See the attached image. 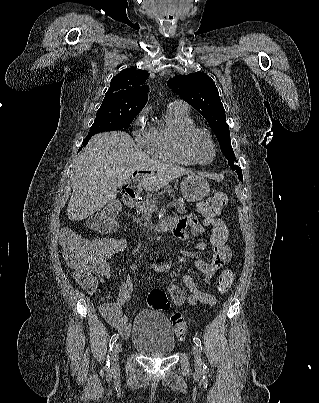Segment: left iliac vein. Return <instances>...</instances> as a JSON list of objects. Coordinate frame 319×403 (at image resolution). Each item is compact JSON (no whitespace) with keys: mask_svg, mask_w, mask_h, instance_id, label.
<instances>
[{"mask_svg":"<svg viewBox=\"0 0 319 403\" xmlns=\"http://www.w3.org/2000/svg\"><path fill=\"white\" fill-rule=\"evenodd\" d=\"M192 352L194 356V364L197 370H201L202 366V357H201V352L198 346L192 345Z\"/></svg>","mask_w":319,"mask_h":403,"instance_id":"left-iliac-vein-1","label":"left iliac vein"}]
</instances>
